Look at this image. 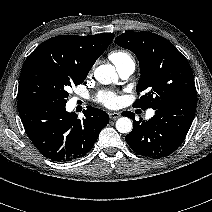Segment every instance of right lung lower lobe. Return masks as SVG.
I'll return each instance as SVG.
<instances>
[{
    "instance_id": "obj_1",
    "label": "right lung lower lobe",
    "mask_w": 212,
    "mask_h": 212,
    "mask_svg": "<svg viewBox=\"0 0 212 212\" xmlns=\"http://www.w3.org/2000/svg\"><path fill=\"white\" fill-rule=\"evenodd\" d=\"M18 111L28 137L40 153L53 161L67 162L85 156L109 123L103 110L87 107L84 118L67 112L66 104L38 100L17 101Z\"/></svg>"
}]
</instances>
